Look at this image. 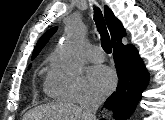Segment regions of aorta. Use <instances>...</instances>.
<instances>
[{"mask_svg":"<svg viewBox=\"0 0 165 120\" xmlns=\"http://www.w3.org/2000/svg\"><path fill=\"white\" fill-rule=\"evenodd\" d=\"M84 28L79 19L71 21L66 29V35L60 47V60L66 70L75 73L83 65Z\"/></svg>","mask_w":165,"mask_h":120,"instance_id":"762f6f07","label":"aorta"}]
</instances>
